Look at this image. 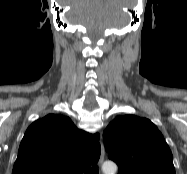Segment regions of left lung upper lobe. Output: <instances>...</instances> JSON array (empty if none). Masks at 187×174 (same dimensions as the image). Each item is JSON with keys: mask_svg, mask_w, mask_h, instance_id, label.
<instances>
[{"mask_svg": "<svg viewBox=\"0 0 187 174\" xmlns=\"http://www.w3.org/2000/svg\"><path fill=\"white\" fill-rule=\"evenodd\" d=\"M103 140L118 174H175L170 148L146 118L117 116L105 129Z\"/></svg>", "mask_w": 187, "mask_h": 174, "instance_id": "1", "label": "left lung upper lobe"}]
</instances>
